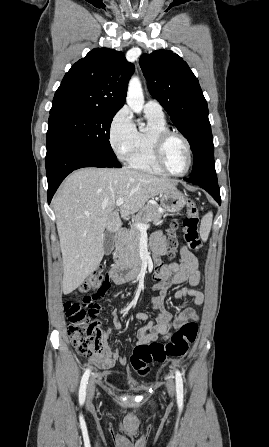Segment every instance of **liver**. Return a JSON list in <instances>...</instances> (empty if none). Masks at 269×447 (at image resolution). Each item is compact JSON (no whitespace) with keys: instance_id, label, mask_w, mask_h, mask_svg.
<instances>
[{"instance_id":"1","label":"liver","mask_w":269,"mask_h":447,"mask_svg":"<svg viewBox=\"0 0 269 447\" xmlns=\"http://www.w3.org/2000/svg\"><path fill=\"white\" fill-rule=\"evenodd\" d=\"M170 190H176L171 180L128 168L73 172L53 202L63 257V293H71L97 269L104 255V229L118 231L119 214H136L150 198ZM119 198L124 200L122 206H116Z\"/></svg>"}]
</instances>
